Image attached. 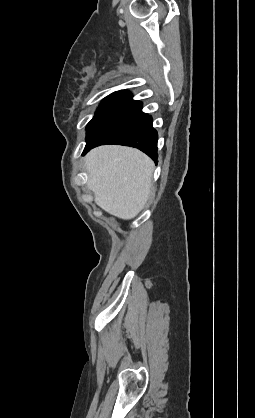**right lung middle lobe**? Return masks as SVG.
<instances>
[{
  "mask_svg": "<svg viewBox=\"0 0 255 418\" xmlns=\"http://www.w3.org/2000/svg\"><path fill=\"white\" fill-rule=\"evenodd\" d=\"M121 91H116V92H114V93H112V94H110L109 96H107L103 101H102V103L100 104V106H99V108H98V110H97V112H96V114H95V116L98 114V112L114 97V96H116L118 93H120ZM94 116V117H95ZM93 120V119H92ZM91 120V121H92ZM91 121L89 122V124L87 125V128H88V126L90 125V123H91Z\"/></svg>",
  "mask_w": 255,
  "mask_h": 418,
  "instance_id": "right-lung-middle-lobe-1",
  "label": "right lung middle lobe"
}]
</instances>
